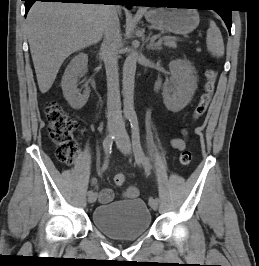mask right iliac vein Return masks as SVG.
<instances>
[{
  "mask_svg": "<svg viewBox=\"0 0 259 266\" xmlns=\"http://www.w3.org/2000/svg\"><path fill=\"white\" fill-rule=\"evenodd\" d=\"M118 129V123L116 121H112L107 126V133L108 135L114 134ZM97 195L93 193L92 195L88 196V202L94 203L96 201Z\"/></svg>",
  "mask_w": 259,
  "mask_h": 266,
  "instance_id": "obj_1",
  "label": "right iliac vein"
}]
</instances>
